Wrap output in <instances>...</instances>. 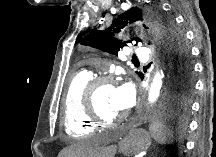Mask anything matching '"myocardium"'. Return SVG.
I'll return each instance as SVG.
<instances>
[{
  "label": "myocardium",
  "instance_id": "myocardium-1",
  "mask_svg": "<svg viewBox=\"0 0 216 157\" xmlns=\"http://www.w3.org/2000/svg\"><path fill=\"white\" fill-rule=\"evenodd\" d=\"M112 85L110 76H99L91 79L83 91L84 110L87 117L96 125H113L123 121L126 116H121L116 119H105L102 117L96 107V94L99 89Z\"/></svg>",
  "mask_w": 216,
  "mask_h": 157
}]
</instances>
